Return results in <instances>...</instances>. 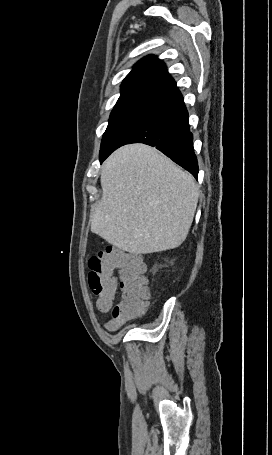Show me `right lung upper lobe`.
Here are the masks:
<instances>
[{
    "label": "right lung upper lobe",
    "instance_id": "cb5924a9",
    "mask_svg": "<svg viewBox=\"0 0 272 455\" xmlns=\"http://www.w3.org/2000/svg\"><path fill=\"white\" fill-rule=\"evenodd\" d=\"M182 96L165 64L154 55L147 56L126 76L117 102L144 99L165 105Z\"/></svg>",
    "mask_w": 272,
    "mask_h": 455
}]
</instances>
